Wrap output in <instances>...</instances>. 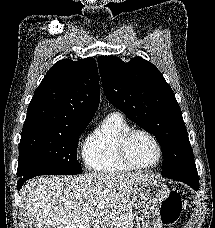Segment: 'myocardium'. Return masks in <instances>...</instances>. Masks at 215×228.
Masks as SVG:
<instances>
[{
	"label": "myocardium",
	"instance_id": "f54148a6",
	"mask_svg": "<svg viewBox=\"0 0 215 228\" xmlns=\"http://www.w3.org/2000/svg\"><path fill=\"white\" fill-rule=\"evenodd\" d=\"M144 134L146 135L155 145V148L157 150V159L156 161L148 166H137L135 165L129 156V145L130 142L133 138L134 135L136 134ZM117 149H118V155L119 158L121 160V162L129 169V170H137V171H148V170H152L154 168H156L161 160H162V155H163V150H162V146L159 142V140L157 139V137L150 132L147 129L144 128H131L128 131H126L119 139L118 141V145H117Z\"/></svg>",
	"mask_w": 215,
	"mask_h": 228
}]
</instances>
